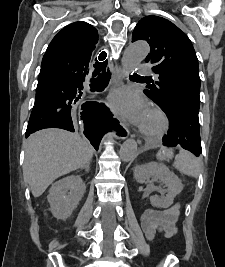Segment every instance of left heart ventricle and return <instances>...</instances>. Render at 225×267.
<instances>
[{"mask_svg": "<svg viewBox=\"0 0 225 267\" xmlns=\"http://www.w3.org/2000/svg\"><path fill=\"white\" fill-rule=\"evenodd\" d=\"M159 126H160L159 118L156 115H154L153 113H150L148 111L141 128H143L147 131H154V130L158 129Z\"/></svg>", "mask_w": 225, "mask_h": 267, "instance_id": "left-heart-ventricle-1", "label": "left heart ventricle"}]
</instances>
